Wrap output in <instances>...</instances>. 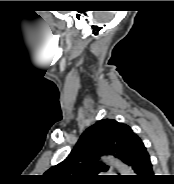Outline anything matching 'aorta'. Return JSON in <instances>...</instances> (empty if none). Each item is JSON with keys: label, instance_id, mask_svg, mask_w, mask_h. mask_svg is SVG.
<instances>
[{"label": "aorta", "instance_id": "1", "mask_svg": "<svg viewBox=\"0 0 174 184\" xmlns=\"http://www.w3.org/2000/svg\"><path fill=\"white\" fill-rule=\"evenodd\" d=\"M103 160L108 163L113 165L122 175H130L131 173V168L122 163L120 160L115 159L113 157H104Z\"/></svg>", "mask_w": 174, "mask_h": 184}]
</instances>
